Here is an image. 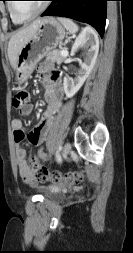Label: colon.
I'll use <instances>...</instances> for the list:
<instances>
[{"mask_svg":"<svg viewBox=\"0 0 133 253\" xmlns=\"http://www.w3.org/2000/svg\"><path fill=\"white\" fill-rule=\"evenodd\" d=\"M29 102V92L26 89H19L15 92L12 105L14 108L20 110ZM32 169L38 181H51L54 183L66 182L70 184H78L82 182L83 175L79 172L61 173L59 171H48L39 161L32 162Z\"/></svg>","mask_w":133,"mask_h":253,"instance_id":"obj_1","label":"colon"}]
</instances>
